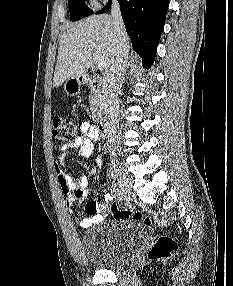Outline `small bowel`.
Segmentation results:
<instances>
[{"instance_id":"c3829d8e","label":"small bowel","mask_w":233,"mask_h":286,"mask_svg":"<svg viewBox=\"0 0 233 286\" xmlns=\"http://www.w3.org/2000/svg\"><path fill=\"white\" fill-rule=\"evenodd\" d=\"M80 135L77 136L71 143L63 144L60 149L66 152L75 149L77 153L83 157H89L93 152V141L102 145V138L96 126L89 122H84L80 127ZM95 165L98 168L103 166L102 156L95 160ZM55 170L59 184L66 195V204L70 212L73 213L72 206L80 202L87 194L89 189L88 180L85 175L79 174L72 177L64 168L63 161L60 160L55 164ZM110 194H105L98 200L90 201L85 207L86 217H83L80 212L75 214V222L82 228H88L92 225L99 224L103 221L104 210L106 204L111 200Z\"/></svg>"}]
</instances>
